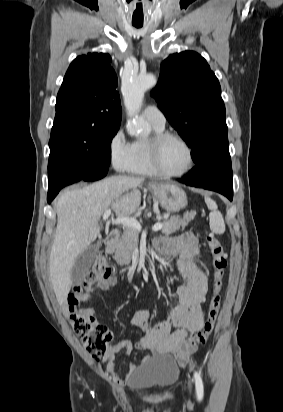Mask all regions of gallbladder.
Listing matches in <instances>:
<instances>
[{"label":"gallbladder","mask_w":283,"mask_h":412,"mask_svg":"<svg viewBox=\"0 0 283 412\" xmlns=\"http://www.w3.org/2000/svg\"><path fill=\"white\" fill-rule=\"evenodd\" d=\"M99 247L92 245L80 254L74 262L71 279L74 285L80 284L89 272Z\"/></svg>","instance_id":"gallbladder-1"}]
</instances>
